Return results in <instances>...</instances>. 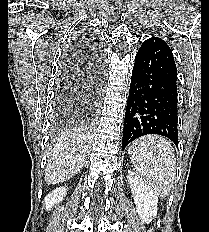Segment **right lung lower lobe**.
<instances>
[{"label": "right lung lower lobe", "mask_w": 209, "mask_h": 232, "mask_svg": "<svg viewBox=\"0 0 209 232\" xmlns=\"http://www.w3.org/2000/svg\"><path fill=\"white\" fill-rule=\"evenodd\" d=\"M71 60L73 59H81L87 62H93L95 64L97 72V77L101 75L102 69H101V57H100V51L99 47L92 46L90 48H78L75 53H72Z\"/></svg>", "instance_id": "right-lung-lower-lobe-1"}]
</instances>
